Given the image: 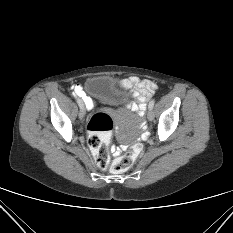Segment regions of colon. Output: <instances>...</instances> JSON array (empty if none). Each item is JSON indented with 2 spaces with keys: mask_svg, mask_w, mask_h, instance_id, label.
<instances>
[{
  "mask_svg": "<svg viewBox=\"0 0 233 233\" xmlns=\"http://www.w3.org/2000/svg\"><path fill=\"white\" fill-rule=\"evenodd\" d=\"M113 120L105 112L95 113L87 125L88 145L98 167L109 169L113 173H122L128 170L142 151V145L136 143L123 156L110 161L108 143L111 139Z\"/></svg>",
  "mask_w": 233,
  "mask_h": 233,
  "instance_id": "obj_1",
  "label": "colon"
}]
</instances>
